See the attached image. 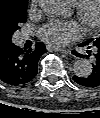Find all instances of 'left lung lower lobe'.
I'll use <instances>...</instances> for the list:
<instances>
[{
  "label": "left lung lower lobe",
  "instance_id": "obj_1",
  "mask_svg": "<svg viewBox=\"0 0 100 118\" xmlns=\"http://www.w3.org/2000/svg\"><path fill=\"white\" fill-rule=\"evenodd\" d=\"M80 47H87L88 55H81L79 53H76L73 51V54H75L78 57H86L91 58L93 63V69L89 76L87 77H78L74 76L73 80L78 83L79 85L85 86V87H97L100 86V38H97L96 40H87L81 44H79Z\"/></svg>",
  "mask_w": 100,
  "mask_h": 118
}]
</instances>
